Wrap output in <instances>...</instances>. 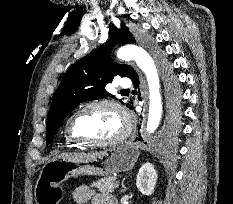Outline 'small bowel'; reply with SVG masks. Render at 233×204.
<instances>
[{"instance_id":"obj_1","label":"small bowel","mask_w":233,"mask_h":204,"mask_svg":"<svg viewBox=\"0 0 233 204\" xmlns=\"http://www.w3.org/2000/svg\"><path fill=\"white\" fill-rule=\"evenodd\" d=\"M73 199L77 204H117V199L110 193L97 192L92 188L82 185L73 192Z\"/></svg>"}]
</instances>
